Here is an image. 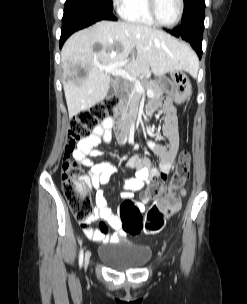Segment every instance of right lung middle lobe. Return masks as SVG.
<instances>
[{
  "label": "right lung middle lobe",
  "mask_w": 247,
  "mask_h": 304,
  "mask_svg": "<svg viewBox=\"0 0 247 304\" xmlns=\"http://www.w3.org/2000/svg\"><path fill=\"white\" fill-rule=\"evenodd\" d=\"M66 2L78 3L87 7L102 8L110 12L113 10L112 0H66Z\"/></svg>",
  "instance_id": "1"
}]
</instances>
